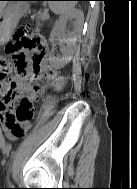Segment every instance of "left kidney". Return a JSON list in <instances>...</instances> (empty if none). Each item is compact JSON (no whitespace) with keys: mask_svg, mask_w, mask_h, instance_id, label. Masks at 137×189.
Wrapping results in <instances>:
<instances>
[{"mask_svg":"<svg viewBox=\"0 0 137 189\" xmlns=\"http://www.w3.org/2000/svg\"><path fill=\"white\" fill-rule=\"evenodd\" d=\"M81 17H82V13L80 11L70 8V9H67L64 13H62L59 20L55 23V26L51 32V38H58L62 46L61 52L63 56L61 58H56L55 56L51 54L49 57L50 63L55 64L59 67H62L72 59L73 53L69 49H67L65 46H63V43L68 41L64 38L63 31H64V27L68 19L81 18Z\"/></svg>","mask_w":137,"mask_h":189,"instance_id":"5707ae66","label":"left kidney"}]
</instances>
